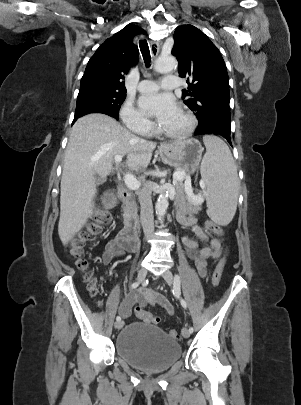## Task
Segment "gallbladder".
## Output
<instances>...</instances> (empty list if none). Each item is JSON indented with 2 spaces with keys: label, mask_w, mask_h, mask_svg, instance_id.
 <instances>
[{
  "label": "gallbladder",
  "mask_w": 301,
  "mask_h": 405,
  "mask_svg": "<svg viewBox=\"0 0 301 405\" xmlns=\"http://www.w3.org/2000/svg\"><path fill=\"white\" fill-rule=\"evenodd\" d=\"M105 181V178L98 179V184H102Z\"/></svg>",
  "instance_id": "obj_1"
}]
</instances>
